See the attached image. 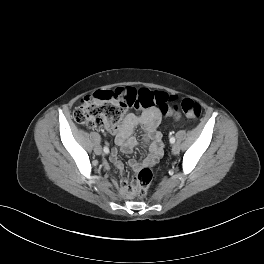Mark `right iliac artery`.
I'll return each instance as SVG.
<instances>
[{
    "label": "right iliac artery",
    "instance_id": "obj_1",
    "mask_svg": "<svg viewBox=\"0 0 264 264\" xmlns=\"http://www.w3.org/2000/svg\"><path fill=\"white\" fill-rule=\"evenodd\" d=\"M103 150H104L105 153H109V148L108 147H104Z\"/></svg>",
    "mask_w": 264,
    "mask_h": 264
}]
</instances>
